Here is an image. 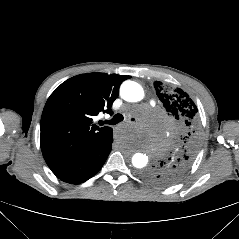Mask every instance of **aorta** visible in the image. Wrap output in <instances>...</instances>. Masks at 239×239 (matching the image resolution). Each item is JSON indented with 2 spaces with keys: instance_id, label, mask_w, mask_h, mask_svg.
Instances as JSON below:
<instances>
[{
  "instance_id": "1",
  "label": "aorta",
  "mask_w": 239,
  "mask_h": 239,
  "mask_svg": "<svg viewBox=\"0 0 239 239\" xmlns=\"http://www.w3.org/2000/svg\"><path fill=\"white\" fill-rule=\"evenodd\" d=\"M121 97L128 102H138L143 99V88L136 82L127 80L120 88ZM151 155L146 151H136L132 156V165L142 169L150 162Z\"/></svg>"
}]
</instances>
